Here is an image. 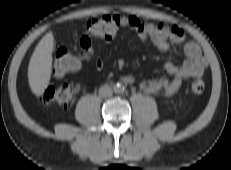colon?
<instances>
[{
	"label": "colon",
	"instance_id": "obj_1",
	"mask_svg": "<svg viewBox=\"0 0 231 170\" xmlns=\"http://www.w3.org/2000/svg\"><path fill=\"white\" fill-rule=\"evenodd\" d=\"M128 17L117 14H105L90 19L86 24V32L93 37L111 39L122 27L126 26ZM80 67V60L69 49H57L54 58L53 71L57 76H65ZM82 90L78 83H64L59 86L47 88L39 97L44 104L55 105L62 108L70 107ZM190 90L199 95L205 90L202 79L192 82Z\"/></svg>",
	"mask_w": 231,
	"mask_h": 170
}]
</instances>
